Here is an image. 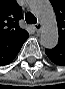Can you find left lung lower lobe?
Segmentation results:
<instances>
[{"mask_svg": "<svg viewBox=\"0 0 65 89\" xmlns=\"http://www.w3.org/2000/svg\"><path fill=\"white\" fill-rule=\"evenodd\" d=\"M49 59L57 65L65 66V40L59 39L58 44L53 49H45Z\"/></svg>", "mask_w": 65, "mask_h": 89, "instance_id": "0a47b994", "label": "left lung lower lobe"}]
</instances>
